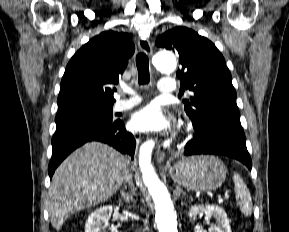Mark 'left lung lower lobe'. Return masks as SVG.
I'll use <instances>...</instances> for the list:
<instances>
[{
    "instance_id": "left-lung-lower-lobe-1",
    "label": "left lung lower lobe",
    "mask_w": 289,
    "mask_h": 232,
    "mask_svg": "<svg viewBox=\"0 0 289 232\" xmlns=\"http://www.w3.org/2000/svg\"><path fill=\"white\" fill-rule=\"evenodd\" d=\"M184 154L224 155L239 160L250 170L252 167L243 128L237 123H211L194 128V136L186 144Z\"/></svg>"
}]
</instances>
